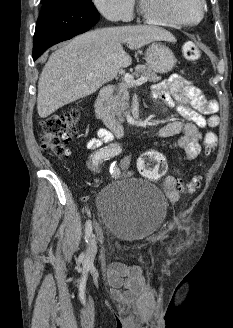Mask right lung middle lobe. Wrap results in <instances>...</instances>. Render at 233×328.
<instances>
[{"label":"right lung middle lobe","instance_id":"dd1d6c3e","mask_svg":"<svg viewBox=\"0 0 233 328\" xmlns=\"http://www.w3.org/2000/svg\"><path fill=\"white\" fill-rule=\"evenodd\" d=\"M51 3V4H62V5H72L80 7H88L95 9V6L91 0H42V4Z\"/></svg>","mask_w":233,"mask_h":328}]
</instances>
